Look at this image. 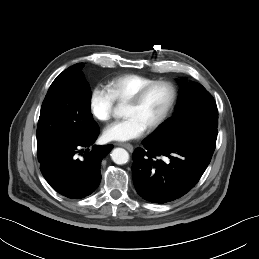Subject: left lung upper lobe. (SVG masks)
Instances as JSON below:
<instances>
[{
	"instance_id": "obj_1",
	"label": "left lung upper lobe",
	"mask_w": 259,
	"mask_h": 259,
	"mask_svg": "<svg viewBox=\"0 0 259 259\" xmlns=\"http://www.w3.org/2000/svg\"><path fill=\"white\" fill-rule=\"evenodd\" d=\"M179 102L174 115L148 138L171 144L190 133L205 131L217 134L218 110L211 94L199 83L179 80Z\"/></svg>"
}]
</instances>
